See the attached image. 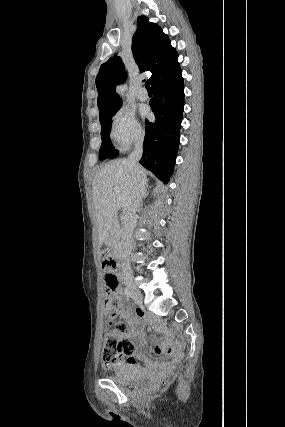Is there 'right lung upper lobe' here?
I'll return each mask as SVG.
<instances>
[{
  "instance_id": "right-lung-upper-lobe-1",
  "label": "right lung upper lobe",
  "mask_w": 285,
  "mask_h": 427,
  "mask_svg": "<svg viewBox=\"0 0 285 427\" xmlns=\"http://www.w3.org/2000/svg\"><path fill=\"white\" fill-rule=\"evenodd\" d=\"M131 48L140 72L152 73L149 79L152 87L172 78L180 71L178 54L171 46L168 36L157 24L149 22L143 15L138 17ZM125 80L124 64L120 57L115 55L101 65L96 77L100 122L120 108L122 101L116 95L115 86Z\"/></svg>"
}]
</instances>
